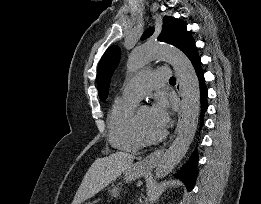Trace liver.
<instances>
[{
	"mask_svg": "<svg viewBox=\"0 0 261 204\" xmlns=\"http://www.w3.org/2000/svg\"><path fill=\"white\" fill-rule=\"evenodd\" d=\"M135 156L125 152H116L103 158H97L86 172L72 204H81L93 197L133 163Z\"/></svg>",
	"mask_w": 261,
	"mask_h": 204,
	"instance_id": "obj_1",
	"label": "liver"
}]
</instances>
